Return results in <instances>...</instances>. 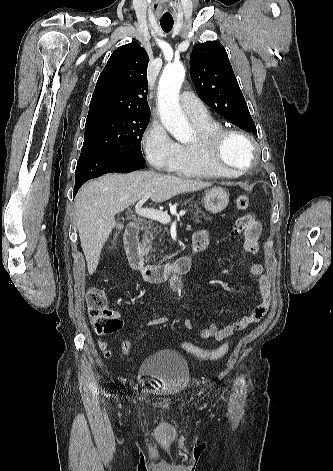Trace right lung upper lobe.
<instances>
[{
	"instance_id": "right-lung-upper-lobe-1",
	"label": "right lung upper lobe",
	"mask_w": 333,
	"mask_h": 471,
	"mask_svg": "<svg viewBox=\"0 0 333 471\" xmlns=\"http://www.w3.org/2000/svg\"><path fill=\"white\" fill-rule=\"evenodd\" d=\"M148 61L147 52L136 42L117 48L98 78L87 117L112 112L150 115Z\"/></svg>"
}]
</instances>
